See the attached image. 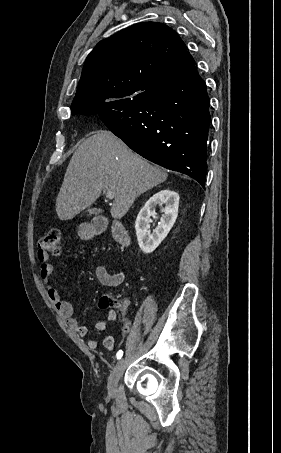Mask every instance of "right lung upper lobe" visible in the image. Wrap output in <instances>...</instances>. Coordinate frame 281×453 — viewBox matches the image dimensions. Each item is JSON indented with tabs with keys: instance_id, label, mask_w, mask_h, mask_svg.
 I'll use <instances>...</instances> for the list:
<instances>
[{
	"instance_id": "right-lung-upper-lobe-1",
	"label": "right lung upper lobe",
	"mask_w": 281,
	"mask_h": 453,
	"mask_svg": "<svg viewBox=\"0 0 281 453\" xmlns=\"http://www.w3.org/2000/svg\"><path fill=\"white\" fill-rule=\"evenodd\" d=\"M195 66L184 42L170 27L142 22L100 41L87 56L72 102V115L129 101L178 79Z\"/></svg>"
}]
</instances>
